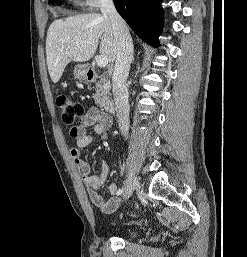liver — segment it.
Listing matches in <instances>:
<instances>
[{
  "instance_id": "6515ba94",
  "label": "liver",
  "mask_w": 247,
  "mask_h": 257,
  "mask_svg": "<svg viewBox=\"0 0 247 257\" xmlns=\"http://www.w3.org/2000/svg\"><path fill=\"white\" fill-rule=\"evenodd\" d=\"M100 40V54L116 60L117 42L108 16L87 13L56 19L46 38V57L51 80L57 83L71 62L89 61ZM89 42V43H87Z\"/></svg>"
}]
</instances>
